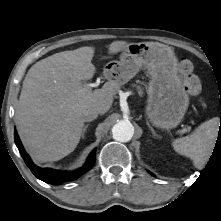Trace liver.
<instances>
[{
    "mask_svg": "<svg viewBox=\"0 0 221 221\" xmlns=\"http://www.w3.org/2000/svg\"><path fill=\"white\" fill-rule=\"evenodd\" d=\"M129 45L114 41L108 46L116 54ZM94 48L80 47L53 54L36 62L27 72L15 110L22 143L37 162L58 161L77 147L84 131L82 111L98 107L100 114L111 108L120 84L106 82L94 91L82 82L90 80Z\"/></svg>",
    "mask_w": 221,
    "mask_h": 221,
    "instance_id": "obj_1",
    "label": "liver"
}]
</instances>
